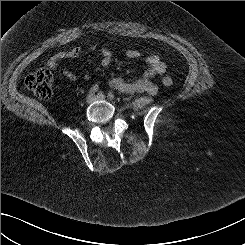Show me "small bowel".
Here are the masks:
<instances>
[{
	"mask_svg": "<svg viewBox=\"0 0 245 245\" xmlns=\"http://www.w3.org/2000/svg\"><path fill=\"white\" fill-rule=\"evenodd\" d=\"M92 50H96V47H91ZM83 48L76 47L66 52H59L52 55L48 61L47 65L49 68L55 70L59 75L65 77L70 81H75L77 75L74 71L68 68L58 67L60 61L69 58H76L83 53ZM99 53L102 57L101 63L103 66H109L113 60V53L109 49L102 48L99 50ZM125 56L128 59H138L141 56V53L138 50L130 49L126 51ZM145 62L147 68L144 71L141 78L135 81H127L121 77H114L109 80L108 85L125 94H134V93H147L149 95H154L157 93V85L154 83L155 77L161 75L166 70L165 63L157 55H149L146 57ZM93 92L97 90L96 86H93L91 89Z\"/></svg>",
	"mask_w": 245,
	"mask_h": 245,
	"instance_id": "1",
	"label": "small bowel"
}]
</instances>
